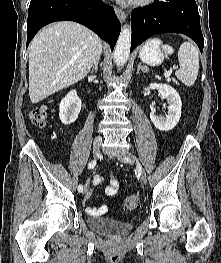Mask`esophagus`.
<instances>
[{"mask_svg":"<svg viewBox=\"0 0 221 263\" xmlns=\"http://www.w3.org/2000/svg\"><path fill=\"white\" fill-rule=\"evenodd\" d=\"M115 12H116L118 19L123 23L127 17L126 13L118 7H115Z\"/></svg>","mask_w":221,"mask_h":263,"instance_id":"1","label":"esophagus"}]
</instances>
